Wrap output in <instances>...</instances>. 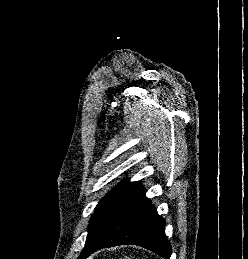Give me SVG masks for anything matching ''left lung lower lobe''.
<instances>
[{"label": "left lung lower lobe", "mask_w": 248, "mask_h": 259, "mask_svg": "<svg viewBox=\"0 0 248 259\" xmlns=\"http://www.w3.org/2000/svg\"><path fill=\"white\" fill-rule=\"evenodd\" d=\"M124 244L144 247L164 259L171 256L165 222L145 196L129 204L101 226L89 238L78 259H85L101 248Z\"/></svg>", "instance_id": "1"}]
</instances>
